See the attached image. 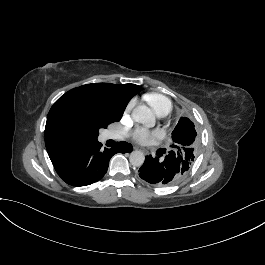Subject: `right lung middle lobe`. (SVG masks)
I'll use <instances>...</instances> for the list:
<instances>
[{
    "mask_svg": "<svg viewBox=\"0 0 265 265\" xmlns=\"http://www.w3.org/2000/svg\"><path fill=\"white\" fill-rule=\"evenodd\" d=\"M127 102L118 94L95 90H70L52 106V128L74 138L97 139L98 130L119 121Z\"/></svg>",
    "mask_w": 265,
    "mask_h": 265,
    "instance_id": "1",
    "label": "right lung middle lobe"
}]
</instances>
